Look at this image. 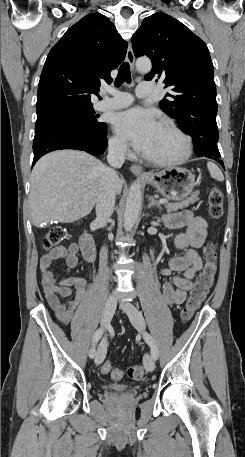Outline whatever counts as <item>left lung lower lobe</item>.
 <instances>
[{"instance_id":"1","label":"left lung lower lobe","mask_w":245,"mask_h":457,"mask_svg":"<svg viewBox=\"0 0 245 457\" xmlns=\"http://www.w3.org/2000/svg\"><path fill=\"white\" fill-rule=\"evenodd\" d=\"M180 129L192 136L197 156L214 159L224 168L217 146L219 133L216 116L203 113L200 116L191 117L190 121Z\"/></svg>"}]
</instances>
